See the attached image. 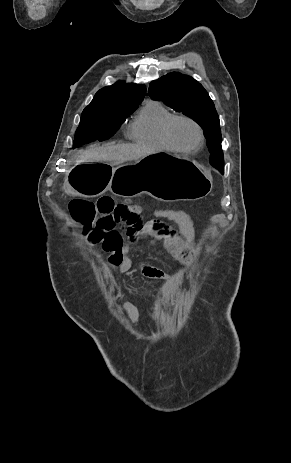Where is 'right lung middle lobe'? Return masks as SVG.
I'll list each match as a JSON object with an SVG mask.
<instances>
[{
	"label": "right lung middle lobe",
	"mask_w": 291,
	"mask_h": 463,
	"mask_svg": "<svg viewBox=\"0 0 291 463\" xmlns=\"http://www.w3.org/2000/svg\"><path fill=\"white\" fill-rule=\"evenodd\" d=\"M139 104L124 108L110 106L84 109L79 127L76 130L73 148L93 142L103 141L111 137Z\"/></svg>",
	"instance_id": "1"
}]
</instances>
